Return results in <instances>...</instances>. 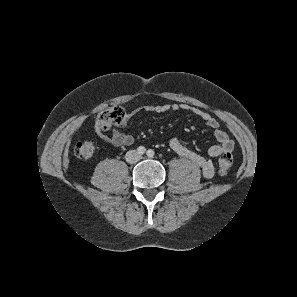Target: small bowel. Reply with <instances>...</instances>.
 <instances>
[{"label": "small bowel", "instance_id": "obj_1", "mask_svg": "<svg viewBox=\"0 0 297 297\" xmlns=\"http://www.w3.org/2000/svg\"><path fill=\"white\" fill-rule=\"evenodd\" d=\"M147 111L155 113H166L169 111H186L190 112L193 115L202 119L206 125L213 130L214 138L216 144L212 145L208 149V155L212 158L218 157L224 153H230L233 150L234 143L229 138L227 133L219 128L218 120L209 112L204 111L198 107L184 104V103H174V104H162L147 106ZM129 115L126 116L123 125H126ZM96 132L98 136L115 146H130L134 143V137L131 134L121 132L117 129L112 130L111 134L108 135L103 132L98 126L96 127ZM170 148L180 157L189 160L195 166L199 167L202 170L203 175L206 178H211L214 175V166L213 163L202 156L201 154L189 149L184 142L178 138H172L169 141Z\"/></svg>", "mask_w": 297, "mask_h": 297}]
</instances>
